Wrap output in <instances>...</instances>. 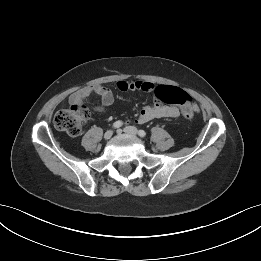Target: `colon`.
Wrapping results in <instances>:
<instances>
[{"label":"colon","mask_w":261,"mask_h":261,"mask_svg":"<svg viewBox=\"0 0 261 261\" xmlns=\"http://www.w3.org/2000/svg\"><path fill=\"white\" fill-rule=\"evenodd\" d=\"M155 93L162 102L179 105L186 119L193 117L194 103L190 95L183 89L173 86H160ZM89 115V110L85 106L81 104L70 105L55 114L54 127L71 136H78L81 133L83 123L89 118Z\"/></svg>","instance_id":"5ec220e1"}]
</instances>
